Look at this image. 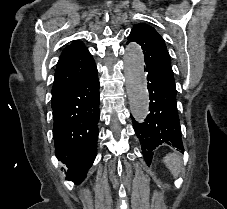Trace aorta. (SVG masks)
Instances as JSON below:
<instances>
[{
  "label": "aorta",
  "instance_id": "aorta-1",
  "mask_svg": "<svg viewBox=\"0 0 227 209\" xmlns=\"http://www.w3.org/2000/svg\"><path fill=\"white\" fill-rule=\"evenodd\" d=\"M126 88L133 117L142 122L148 115L149 99L144 72V55L137 43H130L124 55Z\"/></svg>",
  "mask_w": 227,
  "mask_h": 209
}]
</instances>
